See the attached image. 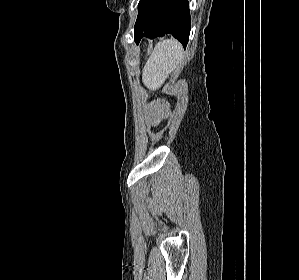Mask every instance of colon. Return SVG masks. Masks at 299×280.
<instances>
[{
  "label": "colon",
  "instance_id": "5ec220e1",
  "mask_svg": "<svg viewBox=\"0 0 299 280\" xmlns=\"http://www.w3.org/2000/svg\"><path fill=\"white\" fill-rule=\"evenodd\" d=\"M163 107L166 108V107H167V104H166V103H163Z\"/></svg>",
  "mask_w": 299,
  "mask_h": 280
}]
</instances>
